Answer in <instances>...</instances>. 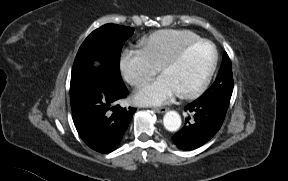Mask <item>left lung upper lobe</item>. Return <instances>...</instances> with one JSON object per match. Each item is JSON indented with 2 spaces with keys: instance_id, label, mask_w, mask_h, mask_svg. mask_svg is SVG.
<instances>
[{
  "instance_id": "left-lung-upper-lobe-1",
  "label": "left lung upper lobe",
  "mask_w": 288,
  "mask_h": 181,
  "mask_svg": "<svg viewBox=\"0 0 288 181\" xmlns=\"http://www.w3.org/2000/svg\"><path fill=\"white\" fill-rule=\"evenodd\" d=\"M233 84L232 66L225 52L219 74L214 84L197 100L214 101L228 108L233 91Z\"/></svg>"
}]
</instances>
